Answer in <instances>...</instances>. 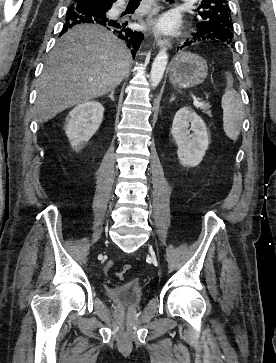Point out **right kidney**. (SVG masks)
<instances>
[{"label": "right kidney", "mask_w": 276, "mask_h": 363, "mask_svg": "<svg viewBox=\"0 0 276 363\" xmlns=\"http://www.w3.org/2000/svg\"><path fill=\"white\" fill-rule=\"evenodd\" d=\"M104 107L96 101L76 106L66 117L65 133L71 147L80 151L96 133L103 121Z\"/></svg>", "instance_id": "right-kidney-1"}]
</instances>
